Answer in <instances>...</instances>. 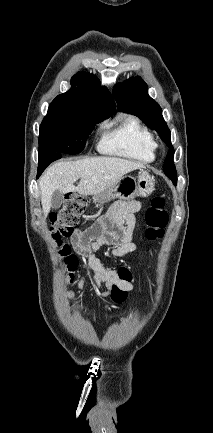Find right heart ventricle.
<instances>
[{"label":"right heart ventricle","instance_id":"obj_1","mask_svg":"<svg viewBox=\"0 0 213 433\" xmlns=\"http://www.w3.org/2000/svg\"><path fill=\"white\" fill-rule=\"evenodd\" d=\"M99 149L107 154L151 162L156 157L157 143L153 134L133 116H125L107 131Z\"/></svg>","mask_w":213,"mask_h":433}]
</instances>
